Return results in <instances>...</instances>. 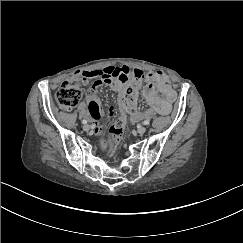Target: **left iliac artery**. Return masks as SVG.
I'll list each match as a JSON object with an SVG mask.
<instances>
[{
    "label": "left iliac artery",
    "mask_w": 243,
    "mask_h": 243,
    "mask_svg": "<svg viewBox=\"0 0 243 243\" xmlns=\"http://www.w3.org/2000/svg\"><path fill=\"white\" fill-rule=\"evenodd\" d=\"M143 124H144V125H149V124H150V121H149V120H145V121L143 122Z\"/></svg>",
    "instance_id": "44dca946"
}]
</instances>
